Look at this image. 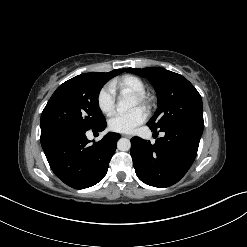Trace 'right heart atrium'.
I'll return each mask as SVG.
<instances>
[{
    "mask_svg": "<svg viewBox=\"0 0 247 247\" xmlns=\"http://www.w3.org/2000/svg\"><path fill=\"white\" fill-rule=\"evenodd\" d=\"M99 109L105 115H111L115 109V94L111 87H103L97 97Z\"/></svg>",
    "mask_w": 247,
    "mask_h": 247,
    "instance_id": "d8ad5b80",
    "label": "right heart atrium"
}]
</instances>
